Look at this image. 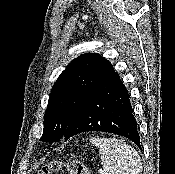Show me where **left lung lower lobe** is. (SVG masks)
<instances>
[{
  "instance_id": "1",
  "label": "left lung lower lobe",
  "mask_w": 175,
  "mask_h": 174,
  "mask_svg": "<svg viewBox=\"0 0 175 174\" xmlns=\"http://www.w3.org/2000/svg\"><path fill=\"white\" fill-rule=\"evenodd\" d=\"M87 131L121 135L141 148L129 94L117 72L78 102L63 137L66 141L73 135Z\"/></svg>"
}]
</instances>
